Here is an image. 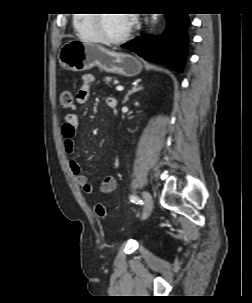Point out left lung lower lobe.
<instances>
[{"instance_id": "left-lung-lower-lobe-1", "label": "left lung lower lobe", "mask_w": 252, "mask_h": 303, "mask_svg": "<svg viewBox=\"0 0 252 303\" xmlns=\"http://www.w3.org/2000/svg\"><path fill=\"white\" fill-rule=\"evenodd\" d=\"M167 27L161 37L142 34L121 47L136 52L150 62L165 63L181 72L186 59L188 36L187 14H166Z\"/></svg>"}]
</instances>
